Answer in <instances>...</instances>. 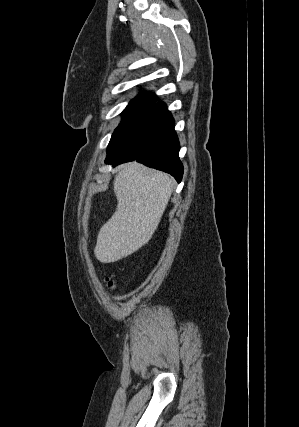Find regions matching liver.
Listing matches in <instances>:
<instances>
[{
	"label": "liver",
	"mask_w": 299,
	"mask_h": 427,
	"mask_svg": "<svg viewBox=\"0 0 299 427\" xmlns=\"http://www.w3.org/2000/svg\"><path fill=\"white\" fill-rule=\"evenodd\" d=\"M173 179L137 162L117 169L114 193L117 208L101 227L94 254L101 263H112L147 244L157 229L173 192Z\"/></svg>",
	"instance_id": "liver-1"
}]
</instances>
